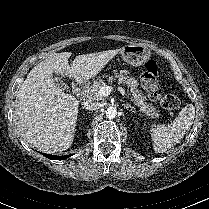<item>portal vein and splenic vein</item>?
Here are the masks:
<instances>
[{"label":"portal vein and splenic vein","mask_w":209,"mask_h":209,"mask_svg":"<svg viewBox=\"0 0 209 209\" xmlns=\"http://www.w3.org/2000/svg\"><path fill=\"white\" fill-rule=\"evenodd\" d=\"M113 90V87L104 85L98 92V96L104 97L108 96ZM117 90L124 96L125 95V90L122 87H117Z\"/></svg>","instance_id":"18ae733b"}]
</instances>
